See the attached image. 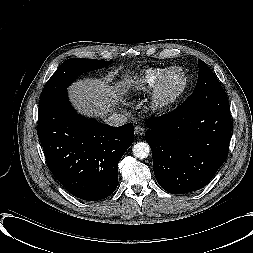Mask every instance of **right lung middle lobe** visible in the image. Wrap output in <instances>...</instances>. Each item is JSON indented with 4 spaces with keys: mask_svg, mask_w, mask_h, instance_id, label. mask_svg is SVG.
<instances>
[{
    "mask_svg": "<svg viewBox=\"0 0 253 253\" xmlns=\"http://www.w3.org/2000/svg\"><path fill=\"white\" fill-rule=\"evenodd\" d=\"M110 61L95 59L70 58L66 60L45 84L39 102V113L46 110L66 88L83 73L106 67Z\"/></svg>",
    "mask_w": 253,
    "mask_h": 253,
    "instance_id": "1",
    "label": "right lung middle lobe"
}]
</instances>
